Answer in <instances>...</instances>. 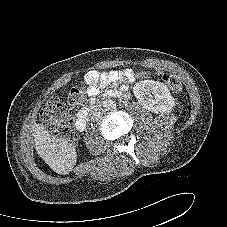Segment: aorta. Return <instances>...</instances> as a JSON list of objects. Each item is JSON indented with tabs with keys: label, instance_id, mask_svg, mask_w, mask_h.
<instances>
[{
	"label": "aorta",
	"instance_id": "obj_1",
	"mask_svg": "<svg viewBox=\"0 0 227 227\" xmlns=\"http://www.w3.org/2000/svg\"><path fill=\"white\" fill-rule=\"evenodd\" d=\"M103 106L106 110H113L116 108V103L112 99H107L104 101Z\"/></svg>",
	"mask_w": 227,
	"mask_h": 227
}]
</instances>
